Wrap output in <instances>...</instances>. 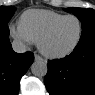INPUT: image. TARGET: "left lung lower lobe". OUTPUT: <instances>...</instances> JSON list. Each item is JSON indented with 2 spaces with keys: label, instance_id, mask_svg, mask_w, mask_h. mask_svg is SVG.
Listing matches in <instances>:
<instances>
[{
  "label": "left lung lower lobe",
  "instance_id": "0a47b994",
  "mask_svg": "<svg viewBox=\"0 0 95 95\" xmlns=\"http://www.w3.org/2000/svg\"><path fill=\"white\" fill-rule=\"evenodd\" d=\"M44 82L50 95H95V36L80 40L69 56L49 61Z\"/></svg>",
  "mask_w": 95,
  "mask_h": 95
}]
</instances>
